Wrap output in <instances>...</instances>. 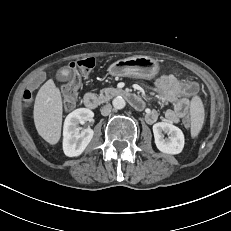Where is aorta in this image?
<instances>
[{
	"mask_svg": "<svg viewBox=\"0 0 231 231\" xmlns=\"http://www.w3.org/2000/svg\"><path fill=\"white\" fill-rule=\"evenodd\" d=\"M113 107L115 109H123L126 106L125 100L121 96H117L112 101Z\"/></svg>",
	"mask_w": 231,
	"mask_h": 231,
	"instance_id": "aorta-1",
	"label": "aorta"
}]
</instances>
